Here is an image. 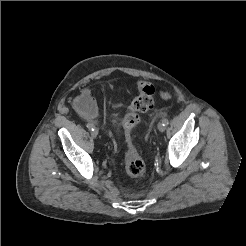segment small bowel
Masks as SVG:
<instances>
[{
    "label": "small bowel",
    "instance_id": "1",
    "mask_svg": "<svg viewBox=\"0 0 246 246\" xmlns=\"http://www.w3.org/2000/svg\"><path fill=\"white\" fill-rule=\"evenodd\" d=\"M77 112L86 120H93L98 115L97 106L89 92H83L74 102Z\"/></svg>",
    "mask_w": 246,
    "mask_h": 246
}]
</instances>
